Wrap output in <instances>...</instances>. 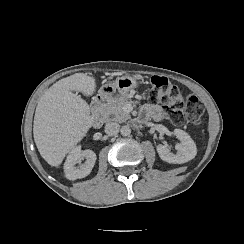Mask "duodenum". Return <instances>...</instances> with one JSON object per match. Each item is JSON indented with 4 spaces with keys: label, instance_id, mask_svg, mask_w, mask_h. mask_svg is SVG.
I'll return each instance as SVG.
<instances>
[{
    "label": "duodenum",
    "instance_id": "obj_1",
    "mask_svg": "<svg viewBox=\"0 0 244 244\" xmlns=\"http://www.w3.org/2000/svg\"><path fill=\"white\" fill-rule=\"evenodd\" d=\"M113 94H109V93H100L98 94L93 102H92V109L94 112V125L98 126L100 125L103 120V108L105 106V104L110 100V98L112 97Z\"/></svg>",
    "mask_w": 244,
    "mask_h": 244
}]
</instances>
